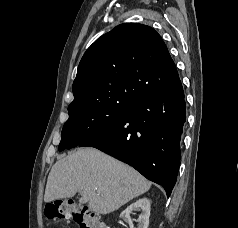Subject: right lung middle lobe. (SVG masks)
Returning a JSON list of instances; mask_svg holds the SVG:
<instances>
[{"label":"right lung middle lobe","mask_w":238,"mask_h":228,"mask_svg":"<svg viewBox=\"0 0 238 228\" xmlns=\"http://www.w3.org/2000/svg\"><path fill=\"white\" fill-rule=\"evenodd\" d=\"M128 104H98L69 113V119L62 129L58 150L79 146L115 123Z\"/></svg>","instance_id":"right-lung-middle-lobe-1"}]
</instances>
